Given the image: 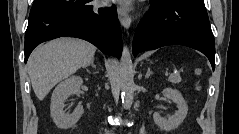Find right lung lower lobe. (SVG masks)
Returning a JSON list of instances; mask_svg holds the SVG:
<instances>
[{
    "instance_id": "right-lung-lower-lobe-1",
    "label": "right lung lower lobe",
    "mask_w": 239,
    "mask_h": 134,
    "mask_svg": "<svg viewBox=\"0 0 239 134\" xmlns=\"http://www.w3.org/2000/svg\"><path fill=\"white\" fill-rule=\"evenodd\" d=\"M62 36L87 40L105 54L121 56L115 6L97 10L91 0H35L25 33V63L37 45Z\"/></svg>"
}]
</instances>
